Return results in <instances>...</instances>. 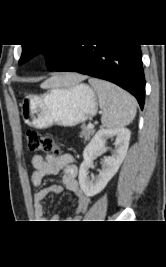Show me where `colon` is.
I'll use <instances>...</instances> for the list:
<instances>
[{"label": "colon", "mask_w": 166, "mask_h": 267, "mask_svg": "<svg viewBox=\"0 0 166 267\" xmlns=\"http://www.w3.org/2000/svg\"><path fill=\"white\" fill-rule=\"evenodd\" d=\"M24 136L30 151L50 152L56 155H59L61 152L59 144L50 135L28 129L25 131Z\"/></svg>", "instance_id": "obj_1"}]
</instances>
